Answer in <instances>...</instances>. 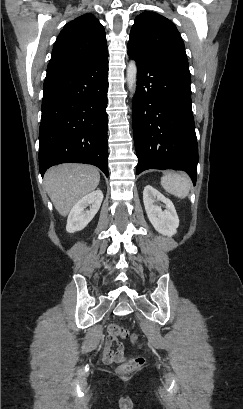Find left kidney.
<instances>
[{"mask_svg":"<svg viewBox=\"0 0 243 409\" xmlns=\"http://www.w3.org/2000/svg\"><path fill=\"white\" fill-rule=\"evenodd\" d=\"M156 201L163 202L166 209L162 210L160 206L155 205ZM143 202L148 219L156 231L169 237L176 234L179 218L171 200L152 186L147 185L143 191Z\"/></svg>","mask_w":243,"mask_h":409,"instance_id":"left-kidney-1","label":"left kidney"}]
</instances>
